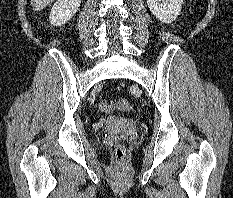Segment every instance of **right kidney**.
Masks as SVG:
<instances>
[{
	"instance_id": "obj_1",
	"label": "right kidney",
	"mask_w": 233,
	"mask_h": 198,
	"mask_svg": "<svg viewBox=\"0 0 233 198\" xmlns=\"http://www.w3.org/2000/svg\"><path fill=\"white\" fill-rule=\"evenodd\" d=\"M81 0H57L50 12V24L62 25L69 21L80 7Z\"/></svg>"
}]
</instances>
